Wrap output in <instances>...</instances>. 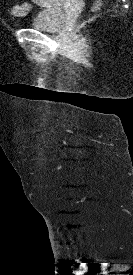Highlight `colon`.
Instances as JSON below:
<instances>
[{
    "label": "colon",
    "mask_w": 133,
    "mask_h": 275,
    "mask_svg": "<svg viewBox=\"0 0 133 275\" xmlns=\"http://www.w3.org/2000/svg\"><path fill=\"white\" fill-rule=\"evenodd\" d=\"M100 8V4H97L95 6V9L98 10ZM30 9V6L28 4H22V5H16L13 7L12 9V13L15 16H22L24 14H26Z\"/></svg>",
    "instance_id": "colon-1"
}]
</instances>
